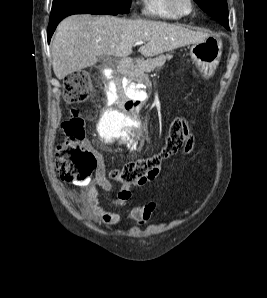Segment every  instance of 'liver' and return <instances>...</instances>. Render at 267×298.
<instances>
[{
  "label": "liver",
  "mask_w": 267,
  "mask_h": 298,
  "mask_svg": "<svg viewBox=\"0 0 267 298\" xmlns=\"http://www.w3.org/2000/svg\"><path fill=\"white\" fill-rule=\"evenodd\" d=\"M208 33L179 25L109 15H72L60 22L51 46L52 65L58 79L95 65L99 56L126 58L138 41L139 48L151 57L203 41Z\"/></svg>",
  "instance_id": "6515ba94"
}]
</instances>
